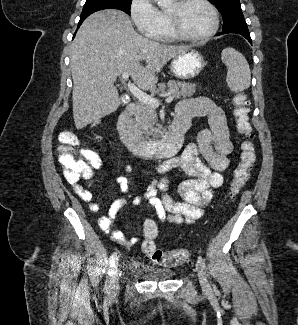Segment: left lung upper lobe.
<instances>
[{"label":"left lung upper lobe","mask_w":298,"mask_h":325,"mask_svg":"<svg viewBox=\"0 0 298 325\" xmlns=\"http://www.w3.org/2000/svg\"><path fill=\"white\" fill-rule=\"evenodd\" d=\"M216 4L223 17V28L245 21L239 0H211Z\"/></svg>","instance_id":"5c2ea615"}]
</instances>
